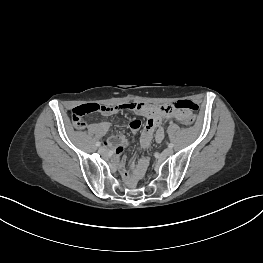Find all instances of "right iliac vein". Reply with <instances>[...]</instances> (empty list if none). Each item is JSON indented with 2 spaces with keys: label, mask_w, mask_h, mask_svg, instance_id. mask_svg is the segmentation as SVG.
Listing matches in <instances>:
<instances>
[{
  "label": "right iliac vein",
  "mask_w": 263,
  "mask_h": 263,
  "mask_svg": "<svg viewBox=\"0 0 263 263\" xmlns=\"http://www.w3.org/2000/svg\"><path fill=\"white\" fill-rule=\"evenodd\" d=\"M99 153H100L101 155H105V154L107 153V150H106L104 147H100V148H99Z\"/></svg>",
  "instance_id": "right-iliac-vein-1"
}]
</instances>
